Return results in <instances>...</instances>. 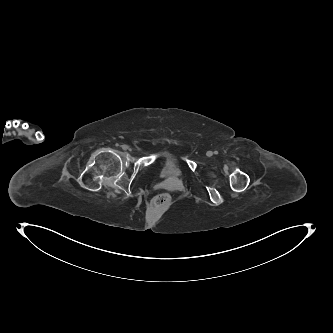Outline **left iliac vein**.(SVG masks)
Returning <instances> with one entry per match:
<instances>
[{
    "label": "left iliac vein",
    "mask_w": 333,
    "mask_h": 333,
    "mask_svg": "<svg viewBox=\"0 0 333 333\" xmlns=\"http://www.w3.org/2000/svg\"><path fill=\"white\" fill-rule=\"evenodd\" d=\"M207 155H208V156H211V152H207Z\"/></svg>",
    "instance_id": "left-iliac-vein-1"
}]
</instances>
